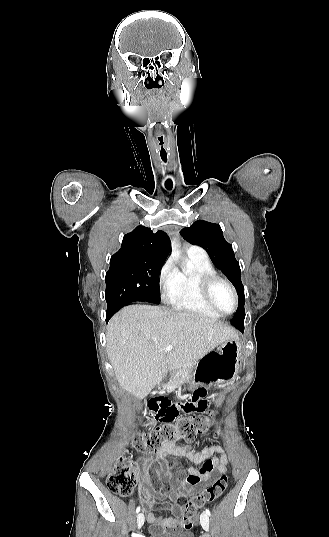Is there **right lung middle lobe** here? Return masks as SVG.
<instances>
[{"label":"right lung middle lobe","mask_w":329,"mask_h":537,"mask_svg":"<svg viewBox=\"0 0 329 537\" xmlns=\"http://www.w3.org/2000/svg\"><path fill=\"white\" fill-rule=\"evenodd\" d=\"M163 263L111 268L106 273L107 311L115 313L133 301L160 303L159 274Z\"/></svg>","instance_id":"dd1d6c3e"}]
</instances>
